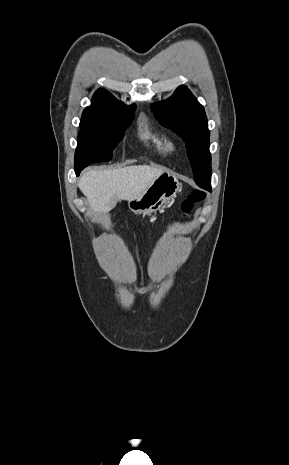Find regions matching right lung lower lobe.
<instances>
[{
  "label": "right lung lower lobe",
  "instance_id": "obj_1",
  "mask_svg": "<svg viewBox=\"0 0 289 465\" xmlns=\"http://www.w3.org/2000/svg\"><path fill=\"white\" fill-rule=\"evenodd\" d=\"M82 169H83V167H81V166H75L76 175H79V173L81 172Z\"/></svg>",
  "mask_w": 289,
  "mask_h": 465
}]
</instances>
